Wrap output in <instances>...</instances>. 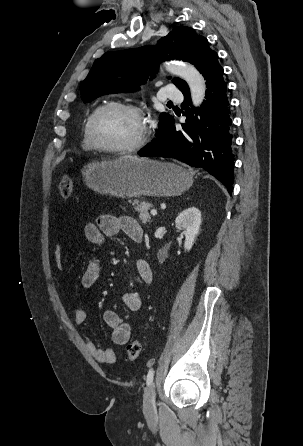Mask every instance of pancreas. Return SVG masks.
I'll use <instances>...</instances> for the list:
<instances>
[{
    "instance_id": "obj_1",
    "label": "pancreas",
    "mask_w": 303,
    "mask_h": 446,
    "mask_svg": "<svg viewBox=\"0 0 303 446\" xmlns=\"http://www.w3.org/2000/svg\"><path fill=\"white\" fill-rule=\"evenodd\" d=\"M133 205L135 206V210L139 212V218L143 224H147L151 220V216L148 212L151 204L149 202L143 201L139 202V200H134Z\"/></svg>"
}]
</instances>
